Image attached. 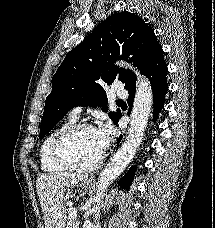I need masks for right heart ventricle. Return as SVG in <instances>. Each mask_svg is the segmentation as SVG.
I'll use <instances>...</instances> for the list:
<instances>
[{
	"instance_id": "right-heart-ventricle-1",
	"label": "right heart ventricle",
	"mask_w": 215,
	"mask_h": 228,
	"mask_svg": "<svg viewBox=\"0 0 215 228\" xmlns=\"http://www.w3.org/2000/svg\"><path fill=\"white\" fill-rule=\"evenodd\" d=\"M76 118L69 115L61 124L52 129L43 139L40 150H39V159L40 167L43 172L46 173H57L63 171L62 168L56 166L50 158V146L57 134L62 131L67 126L74 123Z\"/></svg>"
}]
</instances>
